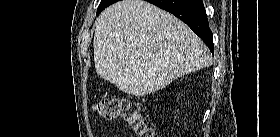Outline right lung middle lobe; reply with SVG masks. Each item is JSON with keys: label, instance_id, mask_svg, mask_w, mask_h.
<instances>
[{"label": "right lung middle lobe", "instance_id": "1", "mask_svg": "<svg viewBox=\"0 0 280 137\" xmlns=\"http://www.w3.org/2000/svg\"><path fill=\"white\" fill-rule=\"evenodd\" d=\"M118 0H101L98 9H97V15L104 10L106 7H108L109 5L117 2Z\"/></svg>", "mask_w": 280, "mask_h": 137}]
</instances>
